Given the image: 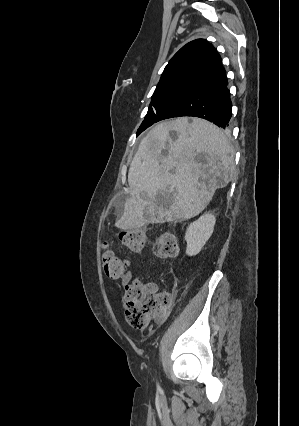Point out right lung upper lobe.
I'll return each instance as SVG.
<instances>
[{"label":"right lung upper lobe","instance_id":"obj_1","mask_svg":"<svg viewBox=\"0 0 299 426\" xmlns=\"http://www.w3.org/2000/svg\"><path fill=\"white\" fill-rule=\"evenodd\" d=\"M221 57L204 39L183 46L166 65L157 86L182 83L200 86L225 75Z\"/></svg>","mask_w":299,"mask_h":426}]
</instances>
